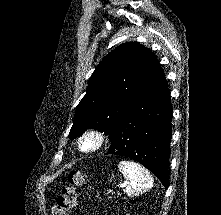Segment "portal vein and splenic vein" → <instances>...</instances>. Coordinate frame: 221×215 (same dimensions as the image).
I'll list each match as a JSON object with an SVG mask.
<instances>
[{"instance_id": "1", "label": "portal vein and splenic vein", "mask_w": 221, "mask_h": 215, "mask_svg": "<svg viewBox=\"0 0 221 215\" xmlns=\"http://www.w3.org/2000/svg\"><path fill=\"white\" fill-rule=\"evenodd\" d=\"M127 183H124L122 185L119 186V188H124L126 186Z\"/></svg>"}]
</instances>
